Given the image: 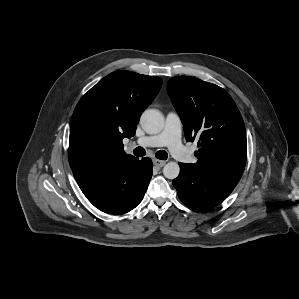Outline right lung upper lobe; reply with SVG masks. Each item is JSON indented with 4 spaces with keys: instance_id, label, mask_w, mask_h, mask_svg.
<instances>
[{
    "instance_id": "1",
    "label": "right lung upper lobe",
    "mask_w": 299,
    "mask_h": 299,
    "mask_svg": "<svg viewBox=\"0 0 299 299\" xmlns=\"http://www.w3.org/2000/svg\"><path fill=\"white\" fill-rule=\"evenodd\" d=\"M161 85L159 77L116 71L84 94L72 115L70 145L84 132L91 134L94 142L70 161L71 169L93 170L133 158L125 153L122 140L135 135L141 113L153 101Z\"/></svg>"
}]
</instances>
